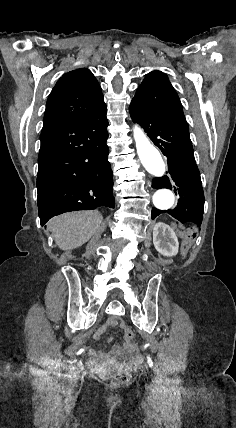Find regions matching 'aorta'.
<instances>
[{"mask_svg":"<svg viewBox=\"0 0 236 428\" xmlns=\"http://www.w3.org/2000/svg\"><path fill=\"white\" fill-rule=\"evenodd\" d=\"M133 135L136 143L137 154L144 168L155 177H162L165 174V163L159 151L151 144L143 130L135 125ZM153 204L156 209L168 210L175 201L171 190L161 189L153 195Z\"/></svg>","mask_w":236,"mask_h":428,"instance_id":"1","label":"aorta"}]
</instances>
